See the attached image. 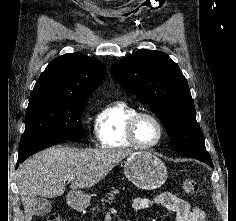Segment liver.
I'll list each match as a JSON object with an SVG mask.
<instances>
[{
	"mask_svg": "<svg viewBox=\"0 0 236 221\" xmlns=\"http://www.w3.org/2000/svg\"><path fill=\"white\" fill-rule=\"evenodd\" d=\"M131 150L118 148H70L56 146L43 150L18 168L17 186L26 221L34 215L37 196L54 198L65 191V179L73 177L71 192L90 188L101 181Z\"/></svg>",
	"mask_w": 236,
	"mask_h": 221,
	"instance_id": "1",
	"label": "liver"
}]
</instances>
